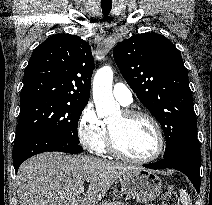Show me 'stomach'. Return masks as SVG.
Instances as JSON below:
<instances>
[{"label":"stomach","mask_w":212,"mask_h":205,"mask_svg":"<svg viewBox=\"0 0 212 205\" xmlns=\"http://www.w3.org/2000/svg\"><path fill=\"white\" fill-rule=\"evenodd\" d=\"M121 190L125 196L137 202L155 200L162 192V180L152 171L137 168L120 177Z\"/></svg>","instance_id":"stomach-1"}]
</instances>
